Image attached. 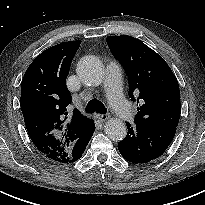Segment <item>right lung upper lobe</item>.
Wrapping results in <instances>:
<instances>
[{
    "mask_svg": "<svg viewBox=\"0 0 205 205\" xmlns=\"http://www.w3.org/2000/svg\"><path fill=\"white\" fill-rule=\"evenodd\" d=\"M81 41L55 45L39 54L21 83V110L28 134L37 149L58 163H68L70 149L92 120L74 109L66 87L71 62Z\"/></svg>",
    "mask_w": 205,
    "mask_h": 205,
    "instance_id": "right-lung-upper-lobe-1",
    "label": "right lung upper lobe"
}]
</instances>
